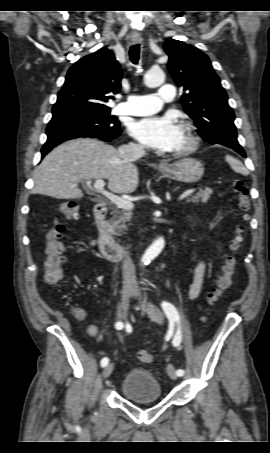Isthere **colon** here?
Wrapping results in <instances>:
<instances>
[{
	"label": "colon",
	"instance_id": "5ec220e1",
	"mask_svg": "<svg viewBox=\"0 0 270 453\" xmlns=\"http://www.w3.org/2000/svg\"><path fill=\"white\" fill-rule=\"evenodd\" d=\"M232 189L238 199V210L241 223L237 226L235 234L230 241V254L227 256L222 267L221 274L217 279L216 286L208 295V301L211 305L217 303L223 296L224 292L232 284L237 266V253L241 248L244 235L246 232L245 223L249 218L251 201L247 184L236 179L232 183ZM80 206L75 201H65L59 206V213L63 220L71 221L79 217ZM63 220H57L47 235L46 260H45V281L50 285L58 284L63 278V263L65 262L64 245L62 237L65 231ZM75 315L80 312L75 310ZM137 358L140 362L150 364L153 362V356L144 349L137 351Z\"/></svg>",
	"mask_w": 270,
	"mask_h": 453
}]
</instances>
